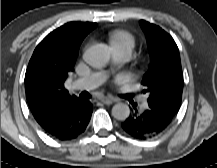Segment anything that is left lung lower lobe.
<instances>
[{"label": "left lung lower lobe", "instance_id": "obj_1", "mask_svg": "<svg viewBox=\"0 0 217 168\" xmlns=\"http://www.w3.org/2000/svg\"><path fill=\"white\" fill-rule=\"evenodd\" d=\"M174 115L170 109L149 102L147 110L128 118L122 128L135 138L145 139L161 133L171 123Z\"/></svg>", "mask_w": 217, "mask_h": 168}]
</instances>
